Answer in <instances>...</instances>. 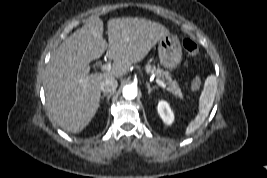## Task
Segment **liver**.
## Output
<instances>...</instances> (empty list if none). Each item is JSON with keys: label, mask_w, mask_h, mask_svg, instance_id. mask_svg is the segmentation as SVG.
<instances>
[{"label": "liver", "mask_w": 267, "mask_h": 178, "mask_svg": "<svg viewBox=\"0 0 267 178\" xmlns=\"http://www.w3.org/2000/svg\"><path fill=\"white\" fill-rule=\"evenodd\" d=\"M109 44L103 39V21L92 17L52 54L44 80L46 106L63 130L81 132L99 107L100 85L109 77L126 75L140 62L168 29L143 18H113L107 22ZM106 52L112 69L89 74V63Z\"/></svg>", "instance_id": "liver-1"}]
</instances>
